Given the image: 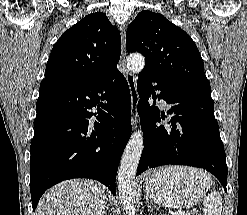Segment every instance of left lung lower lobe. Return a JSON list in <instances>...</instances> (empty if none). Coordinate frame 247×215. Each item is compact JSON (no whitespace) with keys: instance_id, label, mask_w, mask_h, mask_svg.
<instances>
[{"instance_id":"left-lung-lower-lobe-1","label":"left lung lower lobe","mask_w":247,"mask_h":215,"mask_svg":"<svg viewBox=\"0 0 247 215\" xmlns=\"http://www.w3.org/2000/svg\"><path fill=\"white\" fill-rule=\"evenodd\" d=\"M154 89L161 90L158 99L171 105L166 114L160 112L156 102L152 106L148 102L151 96L157 98ZM137 90L144 133L137 175L161 165H188L211 172L226 191V157L210 94L169 83L145 71L139 74ZM171 114L168 123H160Z\"/></svg>"}]
</instances>
